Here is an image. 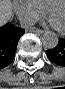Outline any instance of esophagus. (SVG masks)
Returning <instances> with one entry per match:
<instances>
[{"instance_id": "obj_1", "label": "esophagus", "mask_w": 65, "mask_h": 89, "mask_svg": "<svg viewBox=\"0 0 65 89\" xmlns=\"http://www.w3.org/2000/svg\"><path fill=\"white\" fill-rule=\"evenodd\" d=\"M28 31L36 32V33H43L44 32L43 30L35 28V27L29 28Z\"/></svg>"}]
</instances>
